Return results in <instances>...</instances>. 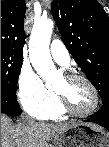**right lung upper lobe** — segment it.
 <instances>
[{
  "instance_id": "cb5924a9",
  "label": "right lung upper lobe",
  "mask_w": 109,
  "mask_h": 147,
  "mask_svg": "<svg viewBox=\"0 0 109 147\" xmlns=\"http://www.w3.org/2000/svg\"><path fill=\"white\" fill-rule=\"evenodd\" d=\"M25 12L23 0L1 1V49L23 56Z\"/></svg>"
}]
</instances>
